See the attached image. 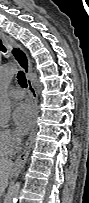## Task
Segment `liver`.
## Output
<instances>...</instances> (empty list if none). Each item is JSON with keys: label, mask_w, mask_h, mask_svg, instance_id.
Listing matches in <instances>:
<instances>
[{"label": "liver", "mask_w": 89, "mask_h": 203, "mask_svg": "<svg viewBox=\"0 0 89 203\" xmlns=\"http://www.w3.org/2000/svg\"><path fill=\"white\" fill-rule=\"evenodd\" d=\"M14 163L11 160H0V191L4 192L8 185V178L13 172Z\"/></svg>", "instance_id": "1"}]
</instances>
